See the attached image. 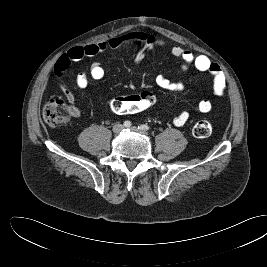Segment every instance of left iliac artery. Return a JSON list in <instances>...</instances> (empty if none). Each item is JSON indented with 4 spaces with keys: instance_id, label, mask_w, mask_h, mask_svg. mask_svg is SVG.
<instances>
[{
    "instance_id": "44dca946",
    "label": "left iliac artery",
    "mask_w": 267,
    "mask_h": 267,
    "mask_svg": "<svg viewBox=\"0 0 267 267\" xmlns=\"http://www.w3.org/2000/svg\"><path fill=\"white\" fill-rule=\"evenodd\" d=\"M138 128L141 130H149L150 129L147 125H140Z\"/></svg>"
}]
</instances>
